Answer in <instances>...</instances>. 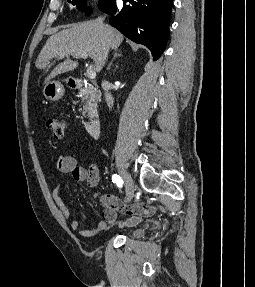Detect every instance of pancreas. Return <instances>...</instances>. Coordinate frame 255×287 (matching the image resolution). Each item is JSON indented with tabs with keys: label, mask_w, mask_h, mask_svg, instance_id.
Returning a JSON list of instances; mask_svg holds the SVG:
<instances>
[{
	"label": "pancreas",
	"mask_w": 255,
	"mask_h": 287,
	"mask_svg": "<svg viewBox=\"0 0 255 287\" xmlns=\"http://www.w3.org/2000/svg\"><path fill=\"white\" fill-rule=\"evenodd\" d=\"M81 98V104L83 106V116L87 118H94L96 116V108H98V102H101V94L93 88L91 84H88L87 88H81L79 90ZM85 124V122H83Z\"/></svg>",
	"instance_id": "1"
}]
</instances>
